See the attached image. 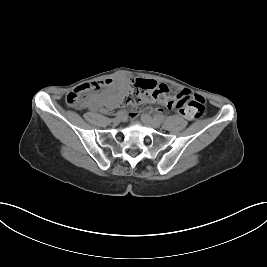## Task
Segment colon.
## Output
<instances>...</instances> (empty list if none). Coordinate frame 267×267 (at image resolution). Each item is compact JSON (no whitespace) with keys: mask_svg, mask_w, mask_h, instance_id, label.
Masks as SVG:
<instances>
[{"mask_svg":"<svg viewBox=\"0 0 267 267\" xmlns=\"http://www.w3.org/2000/svg\"><path fill=\"white\" fill-rule=\"evenodd\" d=\"M85 86H79L69 92L66 96V102L75 109H81L85 105ZM182 102L177 106V111L189 119L200 118L205 112V99L201 95L192 94L189 90L181 92ZM116 102L123 105H136L141 102H153L161 105H169L172 102V96L166 85H158L152 80L136 79L132 82L130 89Z\"/></svg>","mask_w":267,"mask_h":267,"instance_id":"obj_1","label":"colon"}]
</instances>
